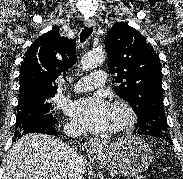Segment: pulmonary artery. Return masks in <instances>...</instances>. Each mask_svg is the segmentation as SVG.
<instances>
[{"label":"pulmonary artery","instance_id":"1","mask_svg":"<svg viewBox=\"0 0 183 179\" xmlns=\"http://www.w3.org/2000/svg\"><path fill=\"white\" fill-rule=\"evenodd\" d=\"M106 74L103 71H95L89 75L80 78L74 84V90L76 92H83L95 89L105 83Z\"/></svg>","mask_w":183,"mask_h":179}]
</instances>
